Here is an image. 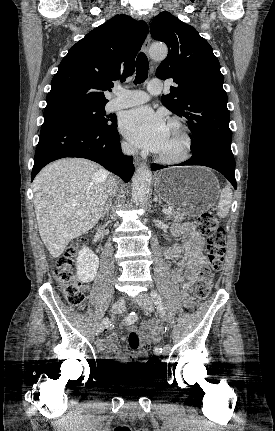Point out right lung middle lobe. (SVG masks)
I'll list each match as a JSON object with an SVG mask.
<instances>
[{
    "label": "right lung middle lobe",
    "mask_w": 275,
    "mask_h": 431,
    "mask_svg": "<svg viewBox=\"0 0 275 431\" xmlns=\"http://www.w3.org/2000/svg\"><path fill=\"white\" fill-rule=\"evenodd\" d=\"M105 105L73 107L44 113V121L72 120L93 127L111 126L116 117L106 115Z\"/></svg>",
    "instance_id": "right-lung-middle-lobe-1"
}]
</instances>
